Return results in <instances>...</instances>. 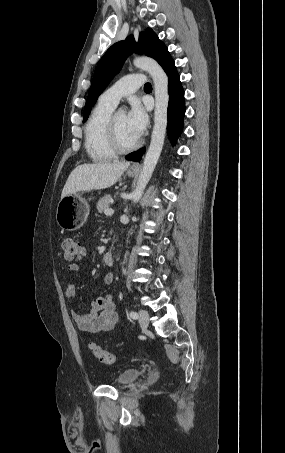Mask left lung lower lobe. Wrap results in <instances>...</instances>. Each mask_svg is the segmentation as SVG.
<instances>
[{
    "label": "left lung lower lobe",
    "mask_w": 285,
    "mask_h": 453,
    "mask_svg": "<svg viewBox=\"0 0 285 453\" xmlns=\"http://www.w3.org/2000/svg\"><path fill=\"white\" fill-rule=\"evenodd\" d=\"M159 64L168 75L169 105H168V134L174 144L182 132L183 117L185 113L184 91L177 73L174 61L167 51L159 60ZM145 148L127 155L125 158L131 161H140Z\"/></svg>",
    "instance_id": "left-lung-lower-lobe-1"
}]
</instances>
